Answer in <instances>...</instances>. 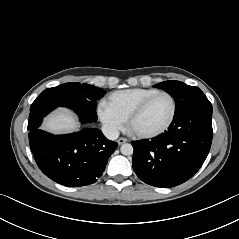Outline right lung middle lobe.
I'll return each mask as SVG.
<instances>
[{
    "mask_svg": "<svg viewBox=\"0 0 239 239\" xmlns=\"http://www.w3.org/2000/svg\"><path fill=\"white\" fill-rule=\"evenodd\" d=\"M105 93L102 88L75 82L48 88L31 105L28 129L40 123L47 113L58 106L73 109L80 118L92 121L96 118V101Z\"/></svg>",
    "mask_w": 239,
    "mask_h": 239,
    "instance_id": "obj_1",
    "label": "right lung middle lobe"
}]
</instances>
